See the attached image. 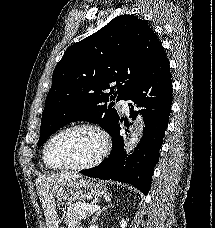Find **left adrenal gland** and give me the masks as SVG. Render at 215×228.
<instances>
[{"instance_id": "a2214340", "label": "left adrenal gland", "mask_w": 215, "mask_h": 228, "mask_svg": "<svg viewBox=\"0 0 215 228\" xmlns=\"http://www.w3.org/2000/svg\"><path fill=\"white\" fill-rule=\"evenodd\" d=\"M111 206H113V204H111ZM108 208H110V206H106V208H101V210H97V212H95L94 216H92L91 224H95V222H97L98 218H100L102 212H105V210H108Z\"/></svg>"}]
</instances>
